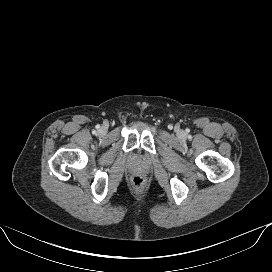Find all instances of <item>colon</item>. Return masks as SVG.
I'll list each match as a JSON object with an SVG mask.
<instances>
[{
    "label": "colon",
    "mask_w": 272,
    "mask_h": 272,
    "mask_svg": "<svg viewBox=\"0 0 272 272\" xmlns=\"http://www.w3.org/2000/svg\"><path fill=\"white\" fill-rule=\"evenodd\" d=\"M131 184L135 187V188H142L145 184V180L142 176L140 175H135L131 178Z\"/></svg>",
    "instance_id": "5ec220e1"
}]
</instances>
